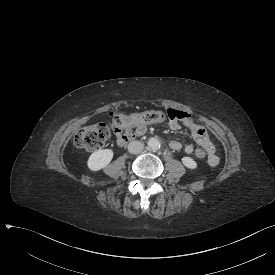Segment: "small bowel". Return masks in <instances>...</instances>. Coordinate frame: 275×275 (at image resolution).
Here are the masks:
<instances>
[{
    "label": "small bowel",
    "mask_w": 275,
    "mask_h": 275,
    "mask_svg": "<svg viewBox=\"0 0 275 275\" xmlns=\"http://www.w3.org/2000/svg\"><path fill=\"white\" fill-rule=\"evenodd\" d=\"M168 113L172 117L169 122L170 129L176 131L180 128V124L184 123L186 127L190 130L191 135L193 139L196 141V143L208 153L209 165L212 167L216 166L219 162V159L215 155V146L213 142L210 140L206 129L203 126L195 123V121L192 118L193 113L191 111L185 112L181 110H175L173 108H170L168 110ZM144 125L145 124L142 123L131 124L124 129H118L117 132L120 138H125L130 134L139 136L145 132ZM132 130H136L135 133H131ZM169 147L175 151L184 149L185 153L187 154H191L194 149L191 144L183 146V144L178 140L170 141Z\"/></svg>",
    "instance_id": "c3829d8e"
}]
</instances>
